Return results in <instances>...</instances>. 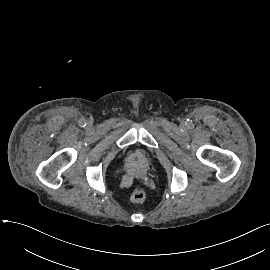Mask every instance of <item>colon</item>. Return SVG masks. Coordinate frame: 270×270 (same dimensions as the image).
I'll use <instances>...</instances> for the list:
<instances>
[{
	"instance_id": "colon-1",
	"label": "colon",
	"mask_w": 270,
	"mask_h": 270,
	"mask_svg": "<svg viewBox=\"0 0 270 270\" xmlns=\"http://www.w3.org/2000/svg\"><path fill=\"white\" fill-rule=\"evenodd\" d=\"M146 195H147L146 189L144 187L140 186L132 192V194L130 196V201L132 203H136V204L141 203L146 198Z\"/></svg>"
}]
</instances>
